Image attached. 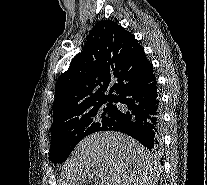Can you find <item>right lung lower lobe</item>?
<instances>
[{
  "label": "right lung lower lobe",
  "instance_id": "obj_1",
  "mask_svg": "<svg viewBox=\"0 0 207 185\" xmlns=\"http://www.w3.org/2000/svg\"><path fill=\"white\" fill-rule=\"evenodd\" d=\"M125 107L117 110V119L102 129L120 131L135 138L148 149L160 144L161 111L155 75L127 83L116 101Z\"/></svg>",
  "mask_w": 207,
  "mask_h": 185
}]
</instances>
